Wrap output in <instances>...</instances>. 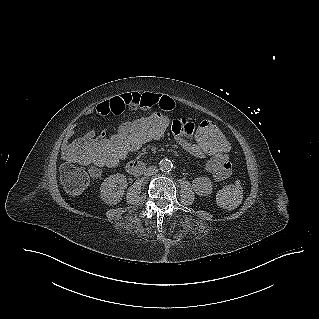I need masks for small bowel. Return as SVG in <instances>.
<instances>
[{
  "mask_svg": "<svg viewBox=\"0 0 319 319\" xmlns=\"http://www.w3.org/2000/svg\"><path fill=\"white\" fill-rule=\"evenodd\" d=\"M175 106L172 98L157 93H129L115 98L102 99L95 109L96 118H92L86 123L85 132L92 139L106 137L105 123L121 119L128 107L139 109L158 107L170 111ZM169 128L172 130L176 142L188 154L196 158H203L209 155L207 150L201 149L194 141H189L191 135L194 134L195 123L194 121H189L188 115H175L174 121L169 123ZM72 134V131L68 132L66 138L71 137ZM206 169L213 175L216 182L224 181L231 173V164L228 156L223 158L211 156L206 163Z\"/></svg>",
  "mask_w": 319,
  "mask_h": 319,
  "instance_id": "small-bowel-1",
  "label": "small bowel"
}]
</instances>
